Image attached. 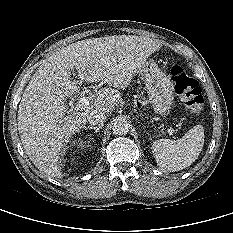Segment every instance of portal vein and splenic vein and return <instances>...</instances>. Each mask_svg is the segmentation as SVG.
<instances>
[{
  "label": "portal vein and splenic vein",
  "instance_id": "18ae733b",
  "mask_svg": "<svg viewBox=\"0 0 233 233\" xmlns=\"http://www.w3.org/2000/svg\"><path fill=\"white\" fill-rule=\"evenodd\" d=\"M89 105H90V103H89L88 98L83 96L80 98V100H79L78 104L76 105V107L74 108V110L80 111V110L87 108ZM168 133L170 136L174 137V130L172 128L168 129Z\"/></svg>",
  "mask_w": 233,
  "mask_h": 233
}]
</instances>
